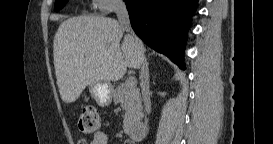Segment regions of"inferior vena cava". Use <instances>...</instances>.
I'll return each instance as SVG.
<instances>
[{"label":"inferior vena cava","mask_w":273,"mask_h":144,"mask_svg":"<svg viewBox=\"0 0 273 144\" xmlns=\"http://www.w3.org/2000/svg\"><path fill=\"white\" fill-rule=\"evenodd\" d=\"M115 11L117 14L118 22L122 29L128 32L133 40V45L135 49V53L138 56L140 62V86L142 90L143 103L145 107L146 114H150L151 112V100H150V91H149V70L148 64L144 55V47L139 38L135 36L132 31L129 14L127 11L126 4L122 0H116L115 2Z\"/></svg>","instance_id":"1"}]
</instances>
